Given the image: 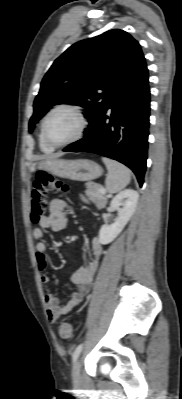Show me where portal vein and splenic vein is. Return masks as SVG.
Wrapping results in <instances>:
<instances>
[{
	"instance_id": "1",
	"label": "portal vein and splenic vein",
	"mask_w": 182,
	"mask_h": 399,
	"mask_svg": "<svg viewBox=\"0 0 182 399\" xmlns=\"http://www.w3.org/2000/svg\"><path fill=\"white\" fill-rule=\"evenodd\" d=\"M102 192H103V193H106V190H105V189H102Z\"/></svg>"
}]
</instances>
